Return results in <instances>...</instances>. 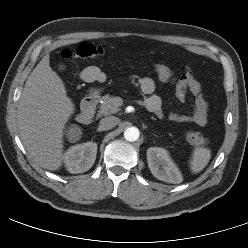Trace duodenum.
Segmentation results:
<instances>
[{
  "instance_id": "1",
  "label": "duodenum",
  "mask_w": 248,
  "mask_h": 248,
  "mask_svg": "<svg viewBox=\"0 0 248 248\" xmlns=\"http://www.w3.org/2000/svg\"><path fill=\"white\" fill-rule=\"evenodd\" d=\"M98 100V94L91 93L82 101L80 112L77 115V121L79 123L89 124L92 122Z\"/></svg>"
}]
</instances>
